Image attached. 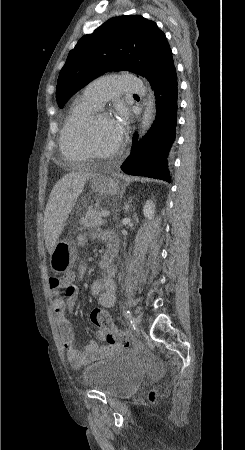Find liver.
I'll use <instances>...</instances> for the list:
<instances>
[{
	"mask_svg": "<svg viewBox=\"0 0 245 450\" xmlns=\"http://www.w3.org/2000/svg\"><path fill=\"white\" fill-rule=\"evenodd\" d=\"M96 175V169L90 168L70 172L53 187L44 212V238L50 255L85 183Z\"/></svg>",
	"mask_w": 245,
	"mask_h": 450,
	"instance_id": "1",
	"label": "liver"
}]
</instances>
